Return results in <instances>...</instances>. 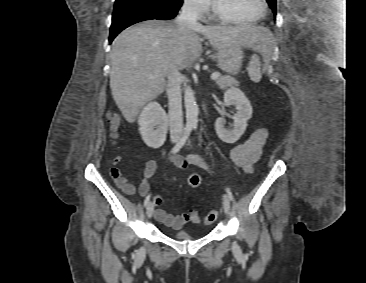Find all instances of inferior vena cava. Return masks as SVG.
I'll return each instance as SVG.
<instances>
[{"mask_svg": "<svg viewBox=\"0 0 366 283\" xmlns=\"http://www.w3.org/2000/svg\"><path fill=\"white\" fill-rule=\"evenodd\" d=\"M198 10L192 0H185L179 16L175 23L179 31L197 26ZM182 76L177 68H174L168 77L167 95L169 100V126L172 136H179L183 129L182 96H181Z\"/></svg>", "mask_w": 366, "mask_h": 283, "instance_id": "602c4592", "label": "inferior vena cava"}]
</instances>
